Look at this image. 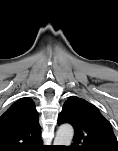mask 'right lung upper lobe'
I'll return each mask as SVG.
<instances>
[{
    "label": "right lung upper lobe",
    "mask_w": 118,
    "mask_h": 151,
    "mask_svg": "<svg viewBox=\"0 0 118 151\" xmlns=\"http://www.w3.org/2000/svg\"><path fill=\"white\" fill-rule=\"evenodd\" d=\"M38 112L30 98H21L0 116V151H34L41 143Z\"/></svg>",
    "instance_id": "1"
}]
</instances>
